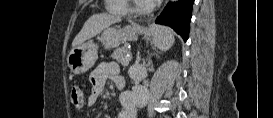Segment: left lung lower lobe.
I'll list each match as a JSON object with an SVG mask.
<instances>
[{"label": "left lung lower lobe", "mask_w": 273, "mask_h": 118, "mask_svg": "<svg viewBox=\"0 0 273 118\" xmlns=\"http://www.w3.org/2000/svg\"><path fill=\"white\" fill-rule=\"evenodd\" d=\"M193 3L194 0H178L169 3L155 22L171 27L181 35L184 41H187Z\"/></svg>", "instance_id": "left-lung-lower-lobe-1"}]
</instances>
